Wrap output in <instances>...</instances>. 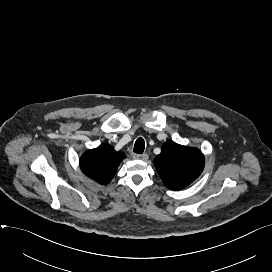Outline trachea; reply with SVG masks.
<instances>
[{
  "mask_svg": "<svg viewBox=\"0 0 272 272\" xmlns=\"http://www.w3.org/2000/svg\"><path fill=\"white\" fill-rule=\"evenodd\" d=\"M145 149V142L142 138H138L134 145V152L137 154H142Z\"/></svg>",
  "mask_w": 272,
  "mask_h": 272,
  "instance_id": "1",
  "label": "trachea"
}]
</instances>
